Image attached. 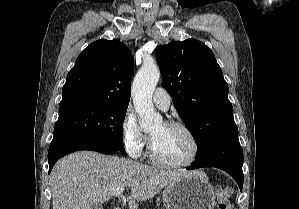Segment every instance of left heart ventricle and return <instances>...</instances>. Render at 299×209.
<instances>
[{
	"label": "left heart ventricle",
	"mask_w": 299,
	"mask_h": 209,
	"mask_svg": "<svg viewBox=\"0 0 299 209\" xmlns=\"http://www.w3.org/2000/svg\"><path fill=\"white\" fill-rule=\"evenodd\" d=\"M156 155L167 162L186 161L193 152V144L189 136L178 128H170L161 123L150 133Z\"/></svg>",
	"instance_id": "obj_1"
}]
</instances>
